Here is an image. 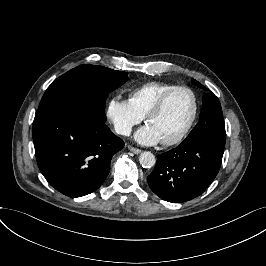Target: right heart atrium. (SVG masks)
<instances>
[{"instance_id": "obj_1", "label": "right heart atrium", "mask_w": 266, "mask_h": 266, "mask_svg": "<svg viewBox=\"0 0 266 266\" xmlns=\"http://www.w3.org/2000/svg\"><path fill=\"white\" fill-rule=\"evenodd\" d=\"M106 116L115 131L120 135H128L143 120V116L134 108L129 99L111 96L107 101Z\"/></svg>"}]
</instances>
